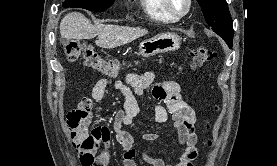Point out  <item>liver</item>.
Returning a JSON list of instances; mask_svg holds the SVG:
<instances>
[{"label": "liver", "mask_w": 277, "mask_h": 166, "mask_svg": "<svg viewBox=\"0 0 277 166\" xmlns=\"http://www.w3.org/2000/svg\"><path fill=\"white\" fill-rule=\"evenodd\" d=\"M148 33L145 29L118 25H93L89 19L78 12L68 13L60 22L62 39H92L98 36L96 45L112 49L128 44Z\"/></svg>", "instance_id": "liver-1"}]
</instances>
